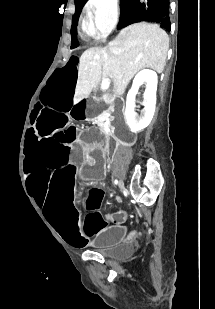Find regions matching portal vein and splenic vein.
Listing matches in <instances>:
<instances>
[{
  "label": "portal vein and splenic vein",
  "instance_id": "18ae733b",
  "mask_svg": "<svg viewBox=\"0 0 215 309\" xmlns=\"http://www.w3.org/2000/svg\"><path fill=\"white\" fill-rule=\"evenodd\" d=\"M109 84H110V78H104L101 84V88H108Z\"/></svg>",
  "mask_w": 215,
  "mask_h": 309
}]
</instances>
